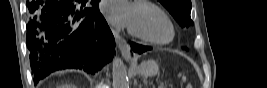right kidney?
<instances>
[{"label": "right kidney", "mask_w": 267, "mask_h": 88, "mask_svg": "<svg viewBox=\"0 0 267 88\" xmlns=\"http://www.w3.org/2000/svg\"><path fill=\"white\" fill-rule=\"evenodd\" d=\"M59 88H77L75 85L73 84H64V85H61Z\"/></svg>", "instance_id": "ca27d5eb"}]
</instances>
